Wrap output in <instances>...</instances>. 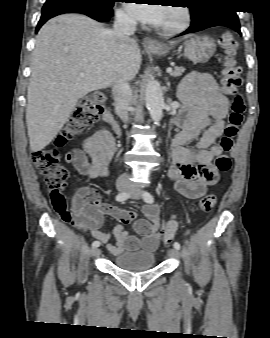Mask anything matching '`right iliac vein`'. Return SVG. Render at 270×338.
I'll use <instances>...</instances> for the list:
<instances>
[{
	"label": "right iliac vein",
	"mask_w": 270,
	"mask_h": 338,
	"mask_svg": "<svg viewBox=\"0 0 270 338\" xmlns=\"http://www.w3.org/2000/svg\"><path fill=\"white\" fill-rule=\"evenodd\" d=\"M130 189V186L129 185H127V184H118L117 185V190L119 191V192H126V191H128ZM100 254V250L98 249V248H93L92 249V256H94V257H96V256H98Z\"/></svg>",
	"instance_id": "right-iliac-vein-1"
}]
</instances>
